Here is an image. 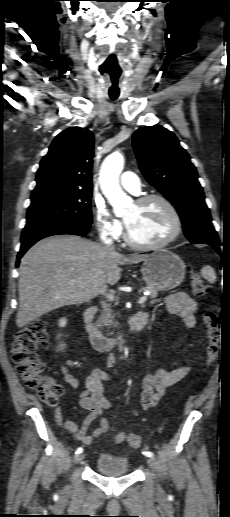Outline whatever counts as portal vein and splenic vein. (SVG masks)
<instances>
[{"instance_id":"obj_1","label":"portal vein and splenic vein","mask_w":230,"mask_h":517,"mask_svg":"<svg viewBox=\"0 0 230 517\" xmlns=\"http://www.w3.org/2000/svg\"><path fill=\"white\" fill-rule=\"evenodd\" d=\"M73 282H74V281H71L70 283L72 284ZM104 295L106 296V298H107V299H109V300H111V301H112V300H114V298H115V297H114V295H113V294H110V293H109V294H104ZM146 300H147V297H146V296H142V297L139 299L138 303H139V304H143V303H145V302H146Z\"/></svg>"}]
</instances>
